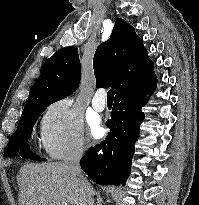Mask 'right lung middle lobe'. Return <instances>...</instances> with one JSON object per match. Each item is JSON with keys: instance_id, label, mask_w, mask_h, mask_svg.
Here are the masks:
<instances>
[{"instance_id": "obj_1", "label": "right lung middle lobe", "mask_w": 199, "mask_h": 205, "mask_svg": "<svg viewBox=\"0 0 199 205\" xmlns=\"http://www.w3.org/2000/svg\"><path fill=\"white\" fill-rule=\"evenodd\" d=\"M55 101L56 100H35L25 105L18 128L11 136L5 148V156L13 157L17 154H20L22 157L30 158L32 160H46L41 159L37 155L33 154L29 148L28 143L26 142L30 138L33 126L39 116L47 108V106H49L51 103H54Z\"/></svg>"}]
</instances>
